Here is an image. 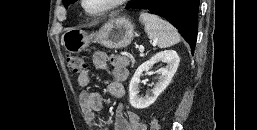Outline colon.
Returning a JSON list of instances; mask_svg holds the SVG:
<instances>
[{
  "instance_id": "5ec220e1",
  "label": "colon",
  "mask_w": 257,
  "mask_h": 130,
  "mask_svg": "<svg viewBox=\"0 0 257 130\" xmlns=\"http://www.w3.org/2000/svg\"><path fill=\"white\" fill-rule=\"evenodd\" d=\"M67 64L75 73H81L86 67L83 58L75 54H69L67 56ZM150 130H161L159 118L154 117L151 120Z\"/></svg>"
}]
</instances>
